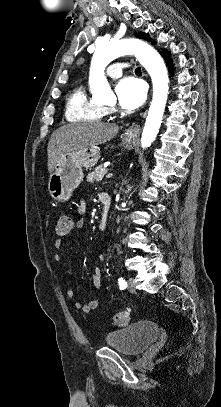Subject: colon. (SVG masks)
Segmentation results:
<instances>
[{"mask_svg": "<svg viewBox=\"0 0 221 407\" xmlns=\"http://www.w3.org/2000/svg\"><path fill=\"white\" fill-rule=\"evenodd\" d=\"M73 227V222L71 218L67 214H61L59 218L57 219L56 222V233L59 236H65L68 235ZM113 321L116 326L118 327H125L129 323V312L128 311H121L118 312L114 318Z\"/></svg>", "mask_w": 221, "mask_h": 407, "instance_id": "1", "label": "colon"}]
</instances>
